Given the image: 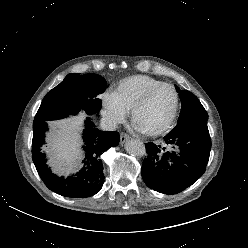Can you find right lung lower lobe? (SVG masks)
Wrapping results in <instances>:
<instances>
[{
  "label": "right lung lower lobe",
  "instance_id": "right-lung-lower-lobe-1",
  "mask_svg": "<svg viewBox=\"0 0 248 248\" xmlns=\"http://www.w3.org/2000/svg\"><path fill=\"white\" fill-rule=\"evenodd\" d=\"M47 130L46 121L33 122L32 159L45 185L59 195L72 198L90 197L99 192L105 178L100 156L110 147L119 144V133L100 131L87 118L83 132V168L74 177L65 179L53 174L47 165L46 155L41 148Z\"/></svg>",
  "mask_w": 248,
  "mask_h": 248
}]
</instances>
